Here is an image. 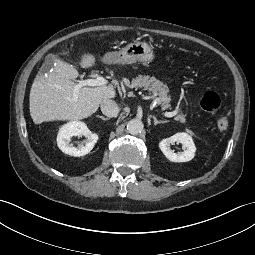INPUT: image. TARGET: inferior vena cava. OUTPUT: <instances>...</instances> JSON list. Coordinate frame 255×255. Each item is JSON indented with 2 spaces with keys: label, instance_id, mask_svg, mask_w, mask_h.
<instances>
[{
  "label": "inferior vena cava",
  "instance_id": "obj_1",
  "mask_svg": "<svg viewBox=\"0 0 255 255\" xmlns=\"http://www.w3.org/2000/svg\"><path fill=\"white\" fill-rule=\"evenodd\" d=\"M101 111L107 117H115L119 113V107L115 101L105 99L101 102Z\"/></svg>",
  "mask_w": 255,
  "mask_h": 255
}]
</instances>
